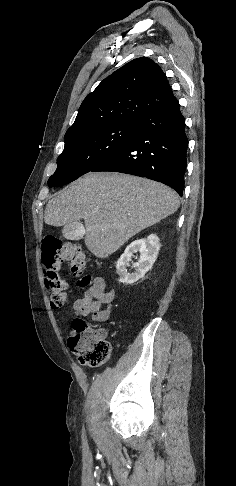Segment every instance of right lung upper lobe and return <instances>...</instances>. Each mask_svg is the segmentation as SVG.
Listing matches in <instances>:
<instances>
[{
  "label": "right lung upper lobe",
  "mask_w": 236,
  "mask_h": 486,
  "mask_svg": "<svg viewBox=\"0 0 236 486\" xmlns=\"http://www.w3.org/2000/svg\"><path fill=\"white\" fill-rule=\"evenodd\" d=\"M177 102L159 65L149 58H137L86 96L65 139L97 128L137 123L145 115Z\"/></svg>",
  "instance_id": "cb5924a9"
}]
</instances>
